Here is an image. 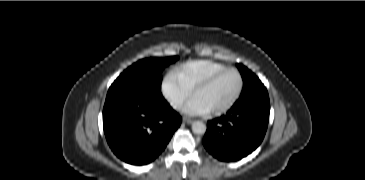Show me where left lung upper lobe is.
<instances>
[{
  "label": "left lung upper lobe",
  "mask_w": 365,
  "mask_h": 180,
  "mask_svg": "<svg viewBox=\"0 0 365 180\" xmlns=\"http://www.w3.org/2000/svg\"><path fill=\"white\" fill-rule=\"evenodd\" d=\"M237 67L242 75L244 86L241 95H245L249 92L255 91L257 89L264 88V85L259 80V78L247 69L242 64H237Z\"/></svg>",
  "instance_id": "left-lung-upper-lobe-1"
}]
</instances>
